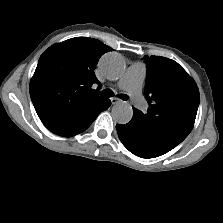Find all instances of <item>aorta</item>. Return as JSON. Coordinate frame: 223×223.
Instances as JSON below:
<instances>
[{
    "mask_svg": "<svg viewBox=\"0 0 223 223\" xmlns=\"http://www.w3.org/2000/svg\"><path fill=\"white\" fill-rule=\"evenodd\" d=\"M99 66L104 75L110 79H118L125 70V62L121 56L116 53L105 54L99 62ZM113 120L118 124H127L133 116L132 106L124 101L116 103L111 110Z\"/></svg>",
    "mask_w": 223,
    "mask_h": 223,
    "instance_id": "1",
    "label": "aorta"
}]
</instances>
